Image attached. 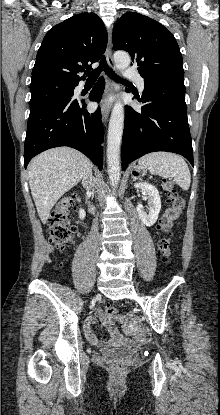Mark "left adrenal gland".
Returning <instances> with one entry per match:
<instances>
[{"label": "left adrenal gland", "mask_w": 220, "mask_h": 415, "mask_svg": "<svg viewBox=\"0 0 220 415\" xmlns=\"http://www.w3.org/2000/svg\"><path fill=\"white\" fill-rule=\"evenodd\" d=\"M133 180L136 179V177L132 176Z\"/></svg>", "instance_id": "obj_1"}]
</instances>
